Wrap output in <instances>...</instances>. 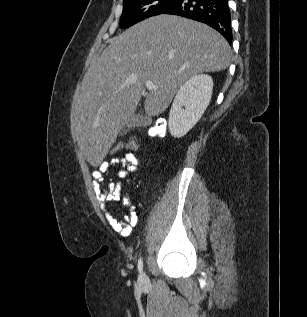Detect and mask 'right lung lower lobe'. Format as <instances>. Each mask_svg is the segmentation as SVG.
<instances>
[{"label":"right lung lower lobe","mask_w":307,"mask_h":317,"mask_svg":"<svg viewBox=\"0 0 307 317\" xmlns=\"http://www.w3.org/2000/svg\"><path fill=\"white\" fill-rule=\"evenodd\" d=\"M161 14L179 15L203 22L231 44L232 29L228 0H175Z\"/></svg>","instance_id":"obj_1"}]
</instances>
